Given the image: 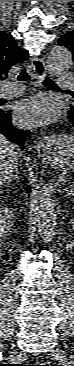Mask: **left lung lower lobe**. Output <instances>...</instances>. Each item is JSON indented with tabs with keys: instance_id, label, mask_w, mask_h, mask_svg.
I'll list each match as a JSON object with an SVG mask.
<instances>
[{
	"instance_id": "1",
	"label": "left lung lower lobe",
	"mask_w": 74,
	"mask_h": 366,
	"mask_svg": "<svg viewBox=\"0 0 74 366\" xmlns=\"http://www.w3.org/2000/svg\"><path fill=\"white\" fill-rule=\"evenodd\" d=\"M69 117H70V120L74 126V106H71V109L69 111Z\"/></svg>"
}]
</instances>
